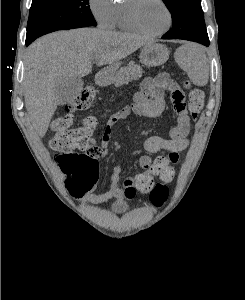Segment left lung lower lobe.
<instances>
[{
    "mask_svg": "<svg viewBox=\"0 0 245 300\" xmlns=\"http://www.w3.org/2000/svg\"><path fill=\"white\" fill-rule=\"evenodd\" d=\"M164 39H185L190 41L199 42L203 45H209L208 35L205 31H199L194 33L193 35H185V36H163Z\"/></svg>",
    "mask_w": 245,
    "mask_h": 300,
    "instance_id": "0a47b994",
    "label": "left lung lower lobe"
}]
</instances>
